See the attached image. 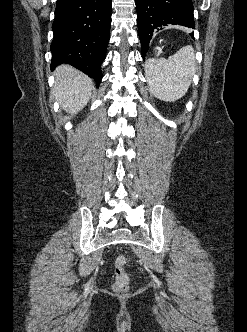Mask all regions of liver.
Returning <instances> with one entry per match:
<instances>
[{"instance_id":"liver-1","label":"liver","mask_w":247,"mask_h":332,"mask_svg":"<svg viewBox=\"0 0 247 332\" xmlns=\"http://www.w3.org/2000/svg\"><path fill=\"white\" fill-rule=\"evenodd\" d=\"M53 93L62 108L70 113H78L89 101L94 88L93 81L82 72L67 66H59L55 73Z\"/></svg>"}]
</instances>
